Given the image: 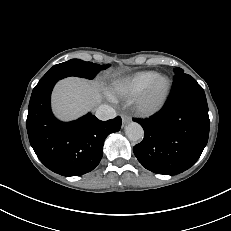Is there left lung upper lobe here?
I'll list each match as a JSON object with an SVG mask.
<instances>
[{"mask_svg": "<svg viewBox=\"0 0 231 231\" xmlns=\"http://www.w3.org/2000/svg\"><path fill=\"white\" fill-rule=\"evenodd\" d=\"M174 73L177 75V74H183L184 71L181 69V68H175L174 69Z\"/></svg>", "mask_w": 231, "mask_h": 231, "instance_id": "obj_1", "label": "left lung upper lobe"}]
</instances>
